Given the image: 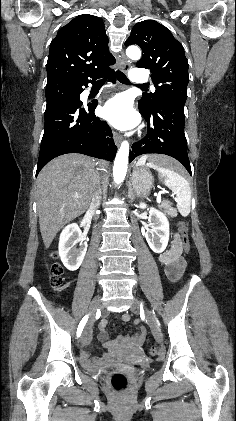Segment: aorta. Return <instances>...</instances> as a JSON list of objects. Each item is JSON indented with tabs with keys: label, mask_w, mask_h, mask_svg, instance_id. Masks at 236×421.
Returning a JSON list of instances; mask_svg holds the SVG:
<instances>
[{
	"label": "aorta",
	"mask_w": 236,
	"mask_h": 421,
	"mask_svg": "<svg viewBox=\"0 0 236 421\" xmlns=\"http://www.w3.org/2000/svg\"><path fill=\"white\" fill-rule=\"evenodd\" d=\"M126 54L129 56V58H132V60H138V58L141 56V50L138 48V46H128V48H126ZM128 158L129 142L128 140H123V142L120 144V148H118L113 166V178L116 184L123 182L126 176Z\"/></svg>",
	"instance_id": "1"
}]
</instances>
